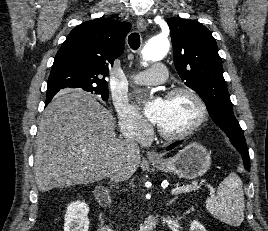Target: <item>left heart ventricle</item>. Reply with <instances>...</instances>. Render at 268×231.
<instances>
[{
	"instance_id": "obj_1",
	"label": "left heart ventricle",
	"mask_w": 268,
	"mask_h": 231,
	"mask_svg": "<svg viewBox=\"0 0 268 231\" xmlns=\"http://www.w3.org/2000/svg\"><path fill=\"white\" fill-rule=\"evenodd\" d=\"M196 114L195 103L186 95L165 99L157 125L166 132L177 133L191 125Z\"/></svg>"
}]
</instances>
